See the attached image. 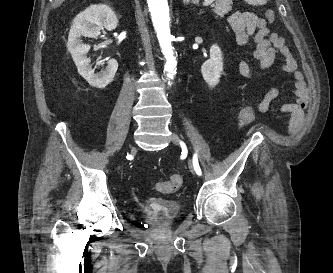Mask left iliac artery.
I'll return each instance as SVG.
<instances>
[{"instance_id":"1","label":"left iliac artery","mask_w":333,"mask_h":273,"mask_svg":"<svg viewBox=\"0 0 333 273\" xmlns=\"http://www.w3.org/2000/svg\"><path fill=\"white\" fill-rule=\"evenodd\" d=\"M193 166H194V170L197 173V175L201 176L202 172H201V168L199 166V162H198V157H197V153H195L193 155Z\"/></svg>"}]
</instances>
